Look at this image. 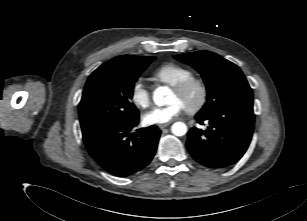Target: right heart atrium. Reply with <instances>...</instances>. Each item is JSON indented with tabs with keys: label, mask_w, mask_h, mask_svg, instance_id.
<instances>
[{
	"label": "right heart atrium",
	"mask_w": 307,
	"mask_h": 221,
	"mask_svg": "<svg viewBox=\"0 0 307 221\" xmlns=\"http://www.w3.org/2000/svg\"><path fill=\"white\" fill-rule=\"evenodd\" d=\"M131 102L138 108H147L151 103V93L149 88L141 81H135L130 90Z\"/></svg>",
	"instance_id": "right-heart-atrium-1"
}]
</instances>
